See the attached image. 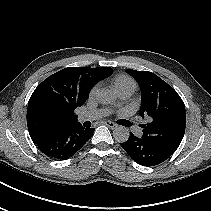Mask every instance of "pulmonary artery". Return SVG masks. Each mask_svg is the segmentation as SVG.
Returning a JSON list of instances; mask_svg holds the SVG:
<instances>
[{"label": "pulmonary artery", "instance_id": "pulmonary-artery-1", "mask_svg": "<svg viewBox=\"0 0 211 211\" xmlns=\"http://www.w3.org/2000/svg\"><path fill=\"white\" fill-rule=\"evenodd\" d=\"M134 91L132 90H122L119 91V96L121 99H127L129 98ZM110 111L108 109H98V110H92V111H87L84 113H81L78 115L77 119L79 122H84V121H90V120H95L101 117H104L108 115Z\"/></svg>", "mask_w": 211, "mask_h": 211}]
</instances>
